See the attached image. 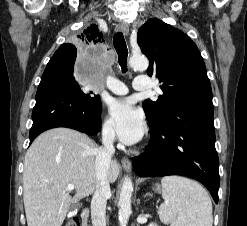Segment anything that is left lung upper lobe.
<instances>
[{
	"label": "left lung upper lobe",
	"mask_w": 247,
	"mask_h": 226,
	"mask_svg": "<svg viewBox=\"0 0 247 226\" xmlns=\"http://www.w3.org/2000/svg\"><path fill=\"white\" fill-rule=\"evenodd\" d=\"M137 42L150 61L148 75H156L163 91L157 101L142 104L150 127L188 103L212 100L203 58L188 35L154 18L138 30Z\"/></svg>",
	"instance_id": "obj_1"
}]
</instances>
